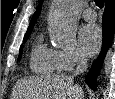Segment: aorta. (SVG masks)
<instances>
[{"mask_svg":"<svg viewBox=\"0 0 115 99\" xmlns=\"http://www.w3.org/2000/svg\"><path fill=\"white\" fill-rule=\"evenodd\" d=\"M81 6L79 0H53L49 31L51 40L62 48L72 47L76 42V20Z\"/></svg>","mask_w":115,"mask_h":99,"instance_id":"1","label":"aorta"}]
</instances>
